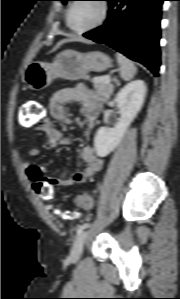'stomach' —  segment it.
Returning <instances> with one entry per match:
<instances>
[{"mask_svg": "<svg viewBox=\"0 0 180 299\" xmlns=\"http://www.w3.org/2000/svg\"><path fill=\"white\" fill-rule=\"evenodd\" d=\"M111 63V58L99 51L81 53L67 49L57 54L52 63H29L24 69L22 81L25 89L38 91L48 87L56 78L82 79L90 71H105Z\"/></svg>", "mask_w": 180, "mask_h": 299, "instance_id": "obj_1", "label": "stomach"}]
</instances>
